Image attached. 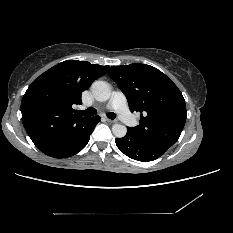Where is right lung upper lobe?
I'll list each match as a JSON object with an SVG mask.
<instances>
[{
  "instance_id": "right-lung-upper-lobe-1",
  "label": "right lung upper lobe",
  "mask_w": 233,
  "mask_h": 233,
  "mask_svg": "<svg viewBox=\"0 0 233 233\" xmlns=\"http://www.w3.org/2000/svg\"><path fill=\"white\" fill-rule=\"evenodd\" d=\"M109 66L66 60L41 74L28 87L21 102L22 123L35 146L43 153L70 140L90 117L74 114L81 93Z\"/></svg>"
}]
</instances>
